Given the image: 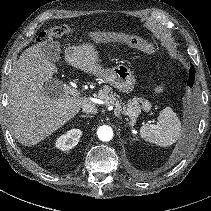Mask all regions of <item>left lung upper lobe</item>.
I'll return each instance as SVG.
<instances>
[{
  "mask_svg": "<svg viewBox=\"0 0 211 211\" xmlns=\"http://www.w3.org/2000/svg\"><path fill=\"white\" fill-rule=\"evenodd\" d=\"M194 79H195V69H194V66L192 65V67L190 68V77H189V80H188V85L190 87L193 86Z\"/></svg>",
  "mask_w": 211,
  "mask_h": 211,
  "instance_id": "obj_1",
  "label": "left lung upper lobe"
}]
</instances>
